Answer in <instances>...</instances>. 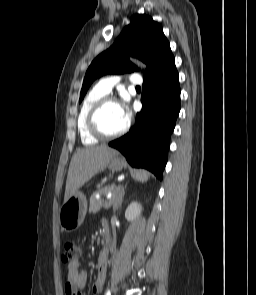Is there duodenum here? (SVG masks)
<instances>
[{"mask_svg": "<svg viewBox=\"0 0 256 295\" xmlns=\"http://www.w3.org/2000/svg\"><path fill=\"white\" fill-rule=\"evenodd\" d=\"M104 238L107 239L108 238V227L106 226L104 229Z\"/></svg>", "mask_w": 256, "mask_h": 295, "instance_id": "410a0bca", "label": "duodenum"}]
</instances>
